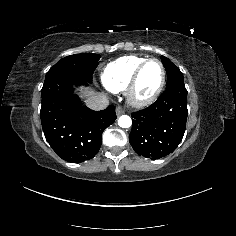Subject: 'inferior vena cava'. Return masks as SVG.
I'll list each match as a JSON object with an SVG mask.
<instances>
[{
  "mask_svg": "<svg viewBox=\"0 0 236 236\" xmlns=\"http://www.w3.org/2000/svg\"><path fill=\"white\" fill-rule=\"evenodd\" d=\"M109 104V98L105 94L98 96H92L86 101V105L94 110H101L107 107Z\"/></svg>",
  "mask_w": 236,
  "mask_h": 236,
  "instance_id": "inferior-vena-cava-1",
  "label": "inferior vena cava"
}]
</instances>
